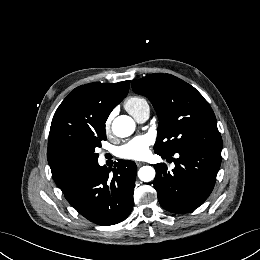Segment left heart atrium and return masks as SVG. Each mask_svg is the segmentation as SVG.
<instances>
[{
  "instance_id": "obj_1",
  "label": "left heart atrium",
  "mask_w": 260,
  "mask_h": 260,
  "mask_svg": "<svg viewBox=\"0 0 260 260\" xmlns=\"http://www.w3.org/2000/svg\"><path fill=\"white\" fill-rule=\"evenodd\" d=\"M152 141L149 136H138L117 149L120 158L140 160L149 153Z\"/></svg>"
}]
</instances>
